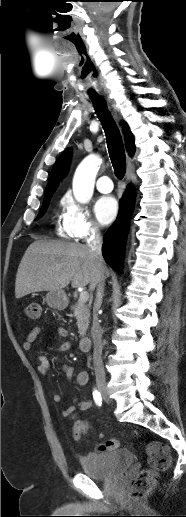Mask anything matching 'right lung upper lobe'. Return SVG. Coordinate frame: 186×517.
<instances>
[{
    "mask_svg": "<svg viewBox=\"0 0 186 517\" xmlns=\"http://www.w3.org/2000/svg\"><path fill=\"white\" fill-rule=\"evenodd\" d=\"M123 127L124 135L126 137L127 150L130 152V155H133L135 152L133 135L130 132L129 126L126 123H123ZM70 157L71 149L68 148L57 159L52 168L45 194L49 192H54L56 190L59 181H61V179L65 176V174L68 171Z\"/></svg>",
    "mask_w": 186,
    "mask_h": 517,
    "instance_id": "1",
    "label": "right lung upper lobe"
}]
</instances>
